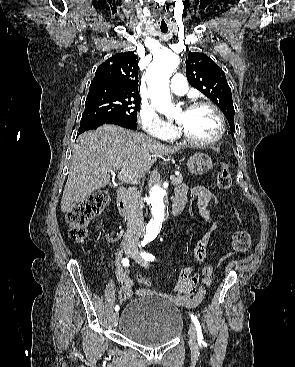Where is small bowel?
Wrapping results in <instances>:
<instances>
[{"instance_id": "obj_1", "label": "small bowel", "mask_w": 295, "mask_h": 367, "mask_svg": "<svg viewBox=\"0 0 295 367\" xmlns=\"http://www.w3.org/2000/svg\"><path fill=\"white\" fill-rule=\"evenodd\" d=\"M190 195L196 196L197 208L207 225V229L196 244L188 264L179 271L175 301L179 305L192 309L202 302L206 289L212 285L215 269L210 265H205L195 270V266L200 264L205 258L211 233L215 229L216 223L209 209L210 198L213 196L210 190L201 185L191 189L186 185H181L176 188L174 200L184 202L185 206ZM120 283L121 288L117 295L120 301H126L134 294L143 295L147 293L144 289L136 288L131 277L126 272L123 273Z\"/></svg>"}]
</instances>
